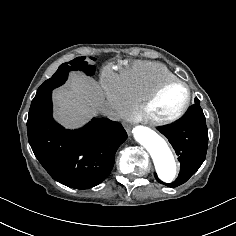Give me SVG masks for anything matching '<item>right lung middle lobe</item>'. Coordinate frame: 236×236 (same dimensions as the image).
<instances>
[{
  "label": "right lung middle lobe",
  "mask_w": 236,
  "mask_h": 236,
  "mask_svg": "<svg viewBox=\"0 0 236 236\" xmlns=\"http://www.w3.org/2000/svg\"><path fill=\"white\" fill-rule=\"evenodd\" d=\"M91 59L95 60V58ZM74 70H83L87 75L91 76L95 72V66L89 65L84 56L61 64L54 75L38 88L35 98L43 96L54 88L62 85L66 81L69 71Z\"/></svg>",
  "instance_id": "right-lung-middle-lobe-1"
}]
</instances>
